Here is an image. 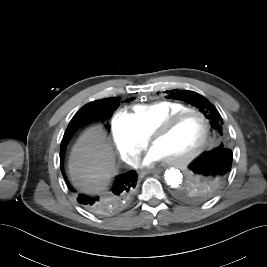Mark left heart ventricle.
<instances>
[{"label":"left heart ventricle","mask_w":267,"mask_h":267,"mask_svg":"<svg viewBox=\"0 0 267 267\" xmlns=\"http://www.w3.org/2000/svg\"><path fill=\"white\" fill-rule=\"evenodd\" d=\"M204 124L200 117L188 115L174 125L166 134L156 138L153 146L167 159L182 157L193 151L201 142Z\"/></svg>","instance_id":"obj_1"}]
</instances>
